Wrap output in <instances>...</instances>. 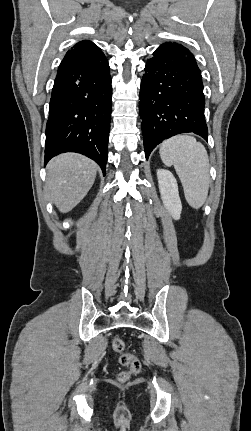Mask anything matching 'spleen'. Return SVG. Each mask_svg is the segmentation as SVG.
Segmentation results:
<instances>
[{
    "label": "spleen",
    "mask_w": 251,
    "mask_h": 431,
    "mask_svg": "<svg viewBox=\"0 0 251 431\" xmlns=\"http://www.w3.org/2000/svg\"><path fill=\"white\" fill-rule=\"evenodd\" d=\"M160 157L173 165L184 189L188 204L195 209L206 201L209 191V158L204 145L189 135L167 139L160 146Z\"/></svg>",
    "instance_id": "obj_1"
}]
</instances>
